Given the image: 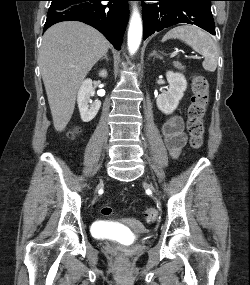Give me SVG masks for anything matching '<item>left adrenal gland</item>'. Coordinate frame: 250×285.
Returning <instances> with one entry per match:
<instances>
[{"instance_id":"1","label":"left adrenal gland","mask_w":250,"mask_h":285,"mask_svg":"<svg viewBox=\"0 0 250 285\" xmlns=\"http://www.w3.org/2000/svg\"><path fill=\"white\" fill-rule=\"evenodd\" d=\"M150 57H155V58L162 59V56H161L160 54H158L156 50H154V51L150 54Z\"/></svg>"}]
</instances>
